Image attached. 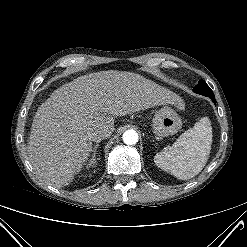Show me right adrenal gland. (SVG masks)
Masks as SVG:
<instances>
[{
	"label": "right adrenal gland",
	"mask_w": 247,
	"mask_h": 247,
	"mask_svg": "<svg viewBox=\"0 0 247 247\" xmlns=\"http://www.w3.org/2000/svg\"><path fill=\"white\" fill-rule=\"evenodd\" d=\"M98 146H99V144H96L94 146V148H93V154H92V157H91V159L89 161V166H91L92 164H94L95 161H96V154H97L96 150H97Z\"/></svg>",
	"instance_id": "2a0ac1e0"
}]
</instances>
